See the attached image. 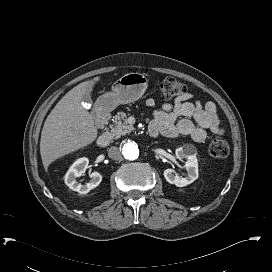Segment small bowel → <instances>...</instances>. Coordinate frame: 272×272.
Instances as JSON below:
<instances>
[{"instance_id": "small-bowel-1", "label": "small bowel", "mask_w": 272, "mask_h": 272, "mask_svg": "<svg viewBox=\"0 0 272 272\" xmlns=\"http://www.w3.org/2000/svg\"><path fill=\"white\" fill-rule=\"evenodd\" d=\"M192 94H185L173 102L165 103L161 109L154 112L151 124L157 125L159 133L166 137L177 138L189 135L196 142L206 140V129L212 133L222 135L224 129L217 117L216 105L209 101L204 105L196 100L191 101ZM153 99L146 101L148 108H153ZM177 117H181L177 122Z\"/></svg>"}]
</instances>
